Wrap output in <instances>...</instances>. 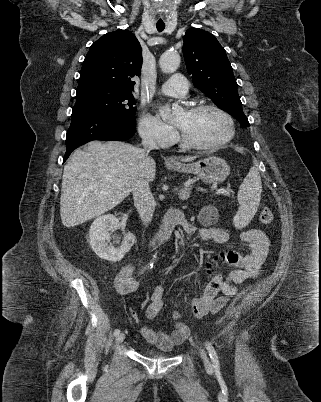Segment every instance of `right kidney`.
<instances>
[{"instance_id":"obj_1","label":"right kidney","mask_w":321,"mask_h":402,"mask_svg":"<svg viewBox=\"0 0 321 402\" xmlns=\"http://www.w3.org/2000/svg\"><path fill=\"white\" fill-rule=\"evenodd\" d=\"M117 227L118 220L112 214L102 215L92 223L89 230V243L99 258L110 262L120 261L134 244V235L127 233L119 248L108 245L111 235L110 231Z\"/></svg>"}]
</instances>
